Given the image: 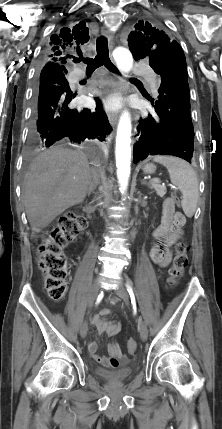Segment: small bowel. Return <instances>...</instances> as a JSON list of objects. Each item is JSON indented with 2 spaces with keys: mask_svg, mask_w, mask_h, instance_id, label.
Segmentation results:
<instances>
[{
  "mask_svg": "<svg viewBox=\"0 0 222 429\" xmlns=\"http://www.w3.org/2000/svg\"><path fill=\"white\" fill-rule=\"evenodd\" d=\"M185 222V216L181 212L175 211L174 204L167 200L163 206L161 221L152 232L154 238L157 239V243L150 250V258L158 266L166 267L171 262V248L180 238ZM109 315V310L103 309L93 317L92 324L100 333L115 336L121 330V323L109 320ZM88 351L92 358L104 367L118 368L128 362L127 356L123 353L119 344L114 341L108 344V356H102L97 353L98 345L94 340L89 341Z\"/></svg>",
  "mask_w": 222,
  "mask_h": 429,
  "instance_id": "small-bowel-1",
  "label": "small bowel"
}]
</instances>
